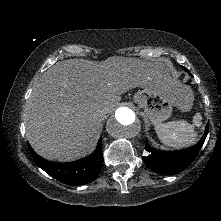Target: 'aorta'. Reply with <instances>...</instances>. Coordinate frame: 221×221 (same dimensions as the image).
<instances>
[{"mask_svg": "<svg viewBox=\"0 0 221 221\" xmlns=\"http://www.w3.org/2000/svg\"><path fill=\"white\" fill-rule=\"evenodd\" d=\"M107 132L118 139H131L140 131V123L134 111L128 107H120L106 124Z\"/></svg>", "mask_w": 221, "mask_h": 221, "instance_id": "1", "label": "aorta"}]
</instances>
